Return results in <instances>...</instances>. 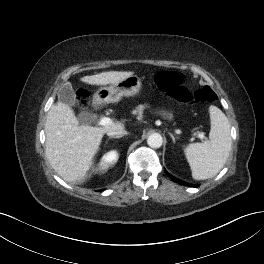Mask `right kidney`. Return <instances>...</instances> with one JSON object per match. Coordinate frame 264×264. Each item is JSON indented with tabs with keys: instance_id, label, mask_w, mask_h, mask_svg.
<instances>
[{
	"instance_id": "obj_1",
	"label": "right kidney",
	"mask_w": 264,
	"mask_h": 264,
	"mask_svg": "<svg viewBox=\"0 0 264 264\" xmlns=\"http://www.w3.org/2000/svg\"><path fill=\"white\" fill-rule=\"evenodd\" d=\"M117 160L118 153L116 151H110L103 156L100 168L107 169L109 165L114 164Z\"/></svg>"
}]
</instances>
